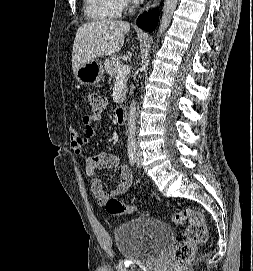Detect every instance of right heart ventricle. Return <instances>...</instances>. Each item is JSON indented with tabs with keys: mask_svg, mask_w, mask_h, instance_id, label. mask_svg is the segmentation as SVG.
I'll return each mask as SVG.
<instances>
[{
	"mask_svg": "<svg viewBox=\"0 0 253 271\" xmlns=\"http://www.w3.org/2000/svg\"><path fill=\"white\" fill-rule=\"evenodd\" d=\"M85 14L95 21L118 18L122 12L119 0H84Z\"/></svg>",
	"mask_w": 253,
	"mask_h": 271,
	"instance_id": "e07e8e85",
	"label": "right heart ventricle"
}]
</instances>
